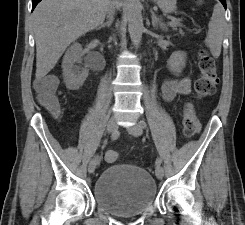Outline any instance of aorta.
Listing matches in <instances>:
<instances>
[{"label": "aorta", "mask_w": 245, "mask_h": 225, "mask_svg": "<svg viewBox=\"0 0 245 225\" xmlns=\"http://www.w3.org/2000/svg\"><path fill=\"white\" fill-rule=\"evenodd\" d=\"M144 30L141 9L137 4H133L128 12V31L133 45L138 48Z\"/></svg>", "instance_id": "762f6f07"}]
</instances>
